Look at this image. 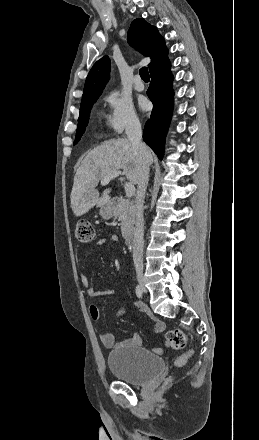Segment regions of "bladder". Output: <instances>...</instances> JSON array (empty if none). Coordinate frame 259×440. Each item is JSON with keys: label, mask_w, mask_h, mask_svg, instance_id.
<instances>
[{"label": "bladder", "mask_w": 259, "mask_h": 440, "mask_svg": "<svg viewBox=\"0 0 259 440\" xmlns=\"http://www.w3.org/2000/svg\"><path fill=\"white\" fill-rule=\"evenodd\" d=\"M107 365L114 377L132 385L145 384L164 369L161 357L144 348L133 346L113 349L107 356Z\"/></svg>", "instance_id": "bladder-1"}]
</instances>
